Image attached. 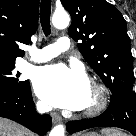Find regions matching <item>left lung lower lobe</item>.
I'll list each match as a JSON object with an SVG mask.
<instances>
[{"label": "left lung lower lobe", "instance_id": "1", "mask_svg": "<svg viewBox=\"0 0 136 136\" xmlns=\"http://www.w3.org/2000/svg\"><path fill=\"white\" fill-rule=\"evenodd\" d=\"M118 127L136 136V94L133 90L112 93L107 110L98 117L69 121L67 131L74 133L93 127Z\"/></svg>", "mask_w": 136, "mask_h": 136}]
</instances>
